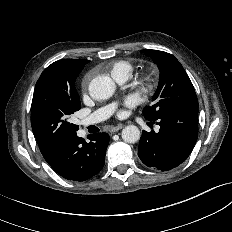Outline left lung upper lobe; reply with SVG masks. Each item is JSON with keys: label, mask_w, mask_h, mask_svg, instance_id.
Listing matches in <instances>:
<instances>
[{"label": "left lung upper lobe", "mask_w": 232, "mask_h": 232, "mask_svg": "<svg viewBox=\"0 0 232 232\" xmlns=\"http://www.w3.org/2000/svg\"><path fill=\"white\" fill-rule=\"evenodd\" d=\"M143 52L153 59L160 71L153 104L143 109L144 117L157 120L179 108L197 111L198 100L194 87L177 58L163 51L144 49Z\"/></svg>", "instance_id": "1"}]
</instances>
